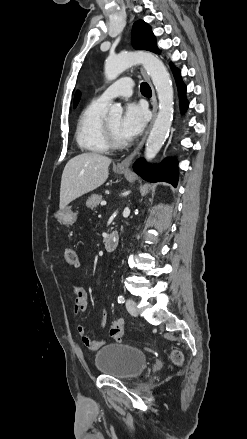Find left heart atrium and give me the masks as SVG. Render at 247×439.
<instances>
[{"instance_id":"1","label":"left heart atrium","mask_w":247,"mask_h":439,"mask_svg":"<svg viewBox=\"0 0 247 439\" xmlns=\"http://www.w3.org/2000/svg\"><path fill=\"white\" fill-rule=\"evenodd\" d=\"M147 119V110L142 105L129 103L119 124V132L124 140L136 138L143 131Z\"/></svg>"}]
</instances>
